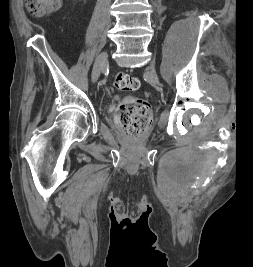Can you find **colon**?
Listing matches in <instances>:
<instances>
[{
	"label": "colon",
	"mask_w": 253,
	"mask_h": 267,
	"mask_svg": "<svg viewBox=\"0 0 253 267\" xmlns=\"http://www.w3.org/2000/svg\"><path fill=\"white\" fill-rule=\"evenodd\" d=\"M61 0H26L27 10L38 17L48 15L60 8ZM114 85L121 91L136 90L140 81L126 73L114 77ZM150 116L149 104L141 99L130 98L120 103L115 115L117 125L132 138L140 137L145 131Z\"/></svg>",
	"instance_id": "1"
}]
</instances>
